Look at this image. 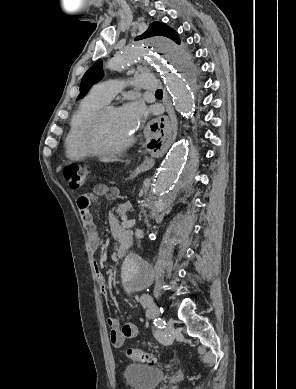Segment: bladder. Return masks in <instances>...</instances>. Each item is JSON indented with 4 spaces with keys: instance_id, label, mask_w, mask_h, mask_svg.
I'll list each match as a JSON object with an SVG mask.
<instances>
[{
    "instance_id": "1",
    "label": "bladder",
    "mask_w": 296,
    "mask_h": 389,
    "mask_svg": "<svg viewBox=\"0 0 296 389\" xmlns=\"http://www.w3.org/2000/svg\"><path fill=\"white\" fill-rule=\"evenodd\" d=\"M123 376L130 389H154L164 380L165 373L157 367L130 363L126 365Z\"/></svg>"
}]
</instances>
